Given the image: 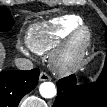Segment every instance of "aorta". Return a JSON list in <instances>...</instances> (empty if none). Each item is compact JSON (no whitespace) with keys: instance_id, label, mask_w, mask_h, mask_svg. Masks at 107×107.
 I'll return each mask as SVG.
<instances>
[{"instance_id":"obj_1","label":"aorta","mask_w":107,"mask_h":107,"mask_svg":"<svg viewBox=\"0 0 107 107\" xmlns=\"http://www.w3.org/2000/svg\"><path fill=\"white\" fill-rule=\"evenodd\" d=\"M39 92L44 98H53L56 95V87L52 82H44L40 85Z\"/></svg>"}]
</instances>
